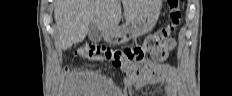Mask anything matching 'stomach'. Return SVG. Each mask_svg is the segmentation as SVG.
I'll list each match as a JSON object with an SVG mask.
<instances>
[{"mask_svg":"<svg viewBox=\"0 0 232 96\" xmlns=\"http://www.w3.org/2000/svg\"><path fill=\"white\" fill-rule=\"evenodd\" d=\"M161 10L160 1H151L148 7L133 22H127L115 30L104 32L105 41L119 45L141 36L153 29Z\"/></svg>","mask_w":232,"mask_h":96,"instance_id":"obj_1","label":"stomach"}]
</instances>
